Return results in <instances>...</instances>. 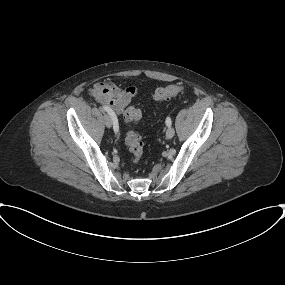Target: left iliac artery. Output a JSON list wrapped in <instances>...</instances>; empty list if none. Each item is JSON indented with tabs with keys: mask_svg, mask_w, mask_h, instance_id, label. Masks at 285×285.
Masks as SVG:
<instances>
[{
	"mask_svg": "<svg viewBox=\"0 0 285 285\" xmlns=\"http://www.w3.org/2000/svg\"><path fill=\"white\" fill-rule=\"evenodd\" d=\"M165 122H166L167 126H171V124H172V121H171L170 117H167Z\"/></svg>",
	"mask_w": 285,
	"mask_h": 285,
	"instance_id": "obj_1",
	"label": "left iliac artery"
}]
</instances>
